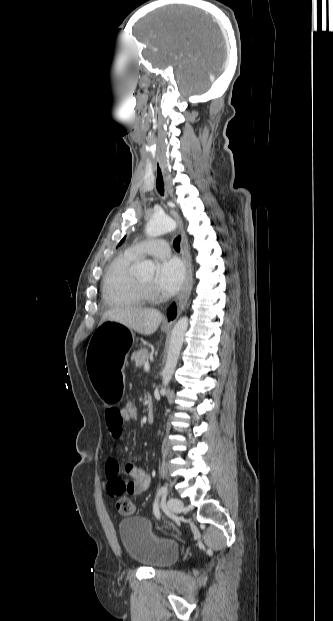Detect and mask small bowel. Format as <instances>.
Masks as SVG:
<instances>
[{
  "label": "small bowel",
  "instance_id": "small-bowel-1",
  "mask_svg": "<svg viewBox=\"0 0 333 621\" xmlns=\"http://www.w3.org/2000/svg\"><path fill=\"white\" fill-rule=\"evenodd\" d=\"M105 421L109 435L113 439H119L123 433L125 418L120 407L112 406L106 409ZM107 492L112 498L125 495H139L146 491L150 485V475L142 468L133 463H127L123 472L129 476L124 480L120 477L122 468L113 456L106 459Z\"/></svg>",
  "mask_w": 333,
  "mask_h": 621
}]
</instances>
